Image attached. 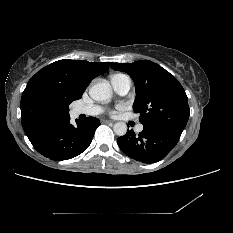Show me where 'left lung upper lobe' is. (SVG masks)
<instances>
[{
	"label": "left lung upper lobe",
	"mask_w": 233,
	"mask_h": 233,
	"mask_svg": "<svg viewBox=\"0 0 233 233\" xmlns=\"http://www.w3.org/2000/svg\"><path fill=\"white\" fill-rule=\"evenodd\" d=\"M110 67L132 77L136 89L133 110L140 114L143 126L182 133L189 118L188 98L172 74L149 60L110 62Z\"/></svg>",
	"instance_id": "1"
}]
</instances>
